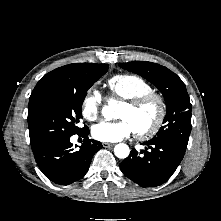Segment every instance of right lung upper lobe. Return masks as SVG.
Segmentation results:
<instances>
[{
  "mask_svg": "<svg viewBox=\"0 0 221 221\" xmlns=\"http://www.w3.org/2000/svg\"><path fill=\"white\" fill-rule=\"evenodd\" d=\"M89 65H91V63L69 64L57 68L43 76L32 91L29 98L28 111H30L47 93L78 77L82 68Z\"/></svg>",
  "mask_w": 221,
  "mask_h": 221,
  "instance_id": "right-lung-upper-lobe-1",
  "label": "right lung upper lobe"
}]
</instances>
